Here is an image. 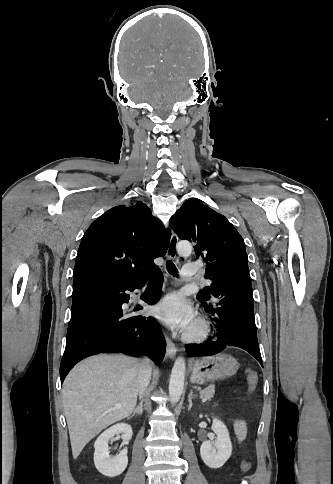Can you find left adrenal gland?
<instances>
[{
	"mask_svg": "<svg viewBox=\"0 0 333 484\" xmlns=\"http://www.w3.org/2000/svg\"><path fill=\"white\" fill-rule=\"evenodd\" d=\"M193 398H196V396H195V395H193V391H192V390H190V393H189V395H188V402H189V405H188V410H190V409H191V407H192V399H193Z\"/></svg>",
	"mask_w": 333,
	"mask_h": 484,
	"instance_id": "obj_1",
	"label": "left adrenal gland"
}]
</instances>
